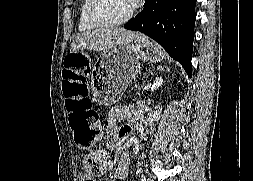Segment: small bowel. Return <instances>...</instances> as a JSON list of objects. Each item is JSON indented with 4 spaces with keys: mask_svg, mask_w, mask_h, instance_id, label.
Masks as SVG:
<instances>
[{
    "mask_svg": "<svg viewBox=\"0 0 253 181\" xmlns=\"http://www.w3.org/2000/svg\"><path fill=\"white\" fill-rule=\"evenodd\" d=\"M79 70L82 71L85 75L89 70V61L88 57L85 55L80 56L79 62ZM133 113V109L127 106H120L114 108L108 118V126H107V145L109 147L116 146L118 140L129 134L131 129L128 125L118 126L116 121L117 119L127 118L131 116ZM114 170L113 177L115 180H128V169L122 162L115 165L114 162H108L106 168L104 169V173H109ZM93 180V176L89 173H82L80 175V181H89Z\"/></svg>",
    "mask_w": 253,
    "mask_h": 181,
    "instance_id": "obj_1",
    "label": "small bowel"
}]
</instances>
